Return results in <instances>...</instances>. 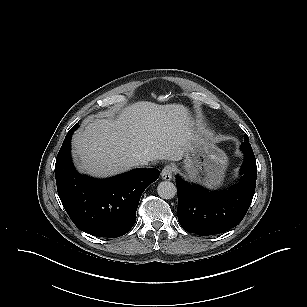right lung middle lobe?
<instances>
[{
  "mask_svg": "<svg viewBox=\"0 0 307 307\" xmlns=\"http://www.w3.org/2000/svg\"><path fill=\"white\" fill-rule=\"evenodd\" d=\"M75 127H77V128H78V127H79V125H78V124H76V125H75Z\"/></svg>",
  "mask_w": 307,
  "mask_h": 307,
  "instance_id": "right-lung-middle-lobe-1",
  "label": "right lung middle lobe"
}]
</instances>
